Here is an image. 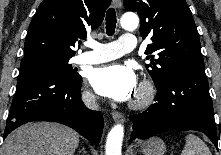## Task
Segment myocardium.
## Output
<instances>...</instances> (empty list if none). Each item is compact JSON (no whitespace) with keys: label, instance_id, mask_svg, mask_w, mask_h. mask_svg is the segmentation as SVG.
<instances>
[{"label":"myocardium","instance_id":"obj_1","mask_svg":"<svg viewBox=\"0 0 221 155\" xmlns=\"http://www.w3.org/2000/svg\"><path fill=\"white\" fill-rule=\"evenodd\" d=\"M155 96V89L151 82L143 81L137 91L135 98L131 101L130 106L133 109H142L150 105Z\"/></svg>","mask_w":221,"mask_h":155}]
</instances>
